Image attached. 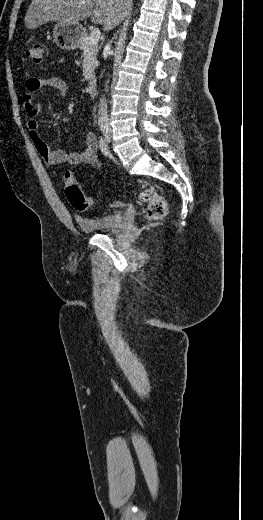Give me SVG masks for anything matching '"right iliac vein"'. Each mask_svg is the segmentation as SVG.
<instances>
[{"label": "right iliac vein", "mask_w": 263, "mask_h": 520, "mask_svg": "<svg viewBox=\"0 0 263 520\" xmlns=\"http://www.w3.org/2000/svg\"><path fill=\"white\" fill-rule=\"evenodd\" d=\"M103 135H104L106 141L109 142V140H110V134H109L107 131H104V132H103Z\"/></svg>", "instance_id": "63e3f726"}]
</instances>
